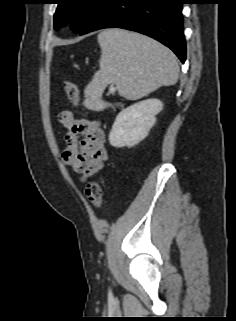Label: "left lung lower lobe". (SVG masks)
Listing matches in <instances>:
<instances>
[{"instance_id":"left-lung-lower-lobe-1","label":"left lung lower lobe","mask_w":236,"mask_h":321,"mask_svg":"<svg viewBox=\"0 0 236 321\" xmlns=\"http://www.w3.org/2000/svg\"><path fill=\"white\" fill-rule=\"evenodd\" d=\"M185 3V0H106L80 35L110 27L136 31L166 45L184 63L182 4Z\"/></svg>"}]
</instances>
